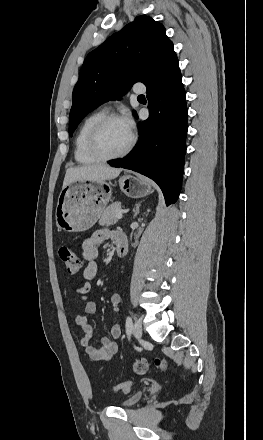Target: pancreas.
I'll list each match as a JSON object with an SVG mask.
<instances>
[{
	"instance_id": "pancreas-1",
	"label": "pancreas",
	"mask_w": 263,
	"mask_h": 440,
	"mask_svg": "<svg viewBox=\"0 0 263 440\" xmlns=\"http://www.w3.org/2000/svg\"><path fill=\"white\" fill-rule=\"evenodd\" d=\"M119 211H121L120 203H112L103 211L99 224L102 226H111L115 224L118 221L116 218V213Z\"/></svg>"
}]
</instances>
